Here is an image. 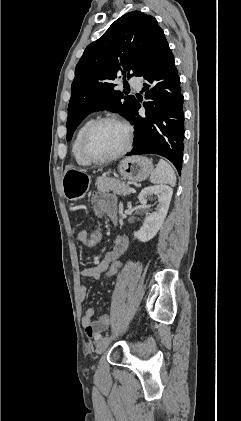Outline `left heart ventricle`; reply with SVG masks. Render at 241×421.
I'll return each instance as SVG.
<instances>
[{
  "instance_id": "b2bd125f",
  "label": "left heart ventricle",
  "mask_w": 241,
  "mask_h": 421,
  "mask_svg": "<svg viewBox=\"0 0 241 421\" xmlns=\"http://www.w3.org/2000/svg\"><path fill=\"white\" fill-rule=\"evenodd\" d=\"M126 140L125 129L116 123H104L90 135L88 149L91 154L104 157L120 150Z\"/></svg>"
}]
</instances>
